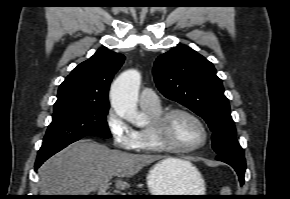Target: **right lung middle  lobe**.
<instances>
[{
	"label": "right lung middle lobe",
	"instance_id": "obj_1",
	"mask_svg": "<svg viewBox=\"0 0 290 199\" xmlns=\"http://www.w3.org/2000/svg\"><path fill=\"white\" fill-rule=\"evenodd\" d=\"M108 109L109 104H71L54 108L53 120L40 150L66 146L88 135L110 138L105 120Z\"/></svg>",
	"mask_w": 290,
	"mask_h": 199
}]
</instances>
